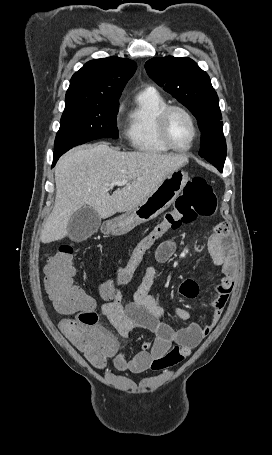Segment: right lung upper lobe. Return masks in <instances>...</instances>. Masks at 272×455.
Instances as JSON below:
<instances>
[{
	"mask_svg": "<svg viewBox=\"0 0 272 455\" xmlns=\"http://www.w3.org/2000/svg\"><path fill=\"white\" fill-rule=\"evenodd\" d=\"M135 70L134 61L115 56L89 61L72 76L65 104L118 102Z\"/></svg>",
	"mask_w": 272,
	"mask_h": 455,
	"instance_id": "obj_1",
	"label": "right lung upper lobe"
}]
</instances>
